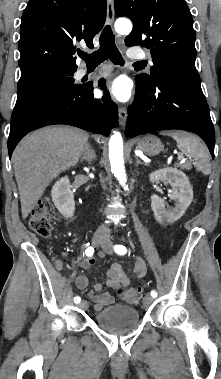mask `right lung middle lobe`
Listing matches in <instances>:
<instances>
[{
  "label": "right lung middle lobe",
  "mask_w": 221,
  "mask_h": 379,
  "mask_svg": "<svg viewBox=\"0 0 221 379\" xmlns=\"http://www.w3.org/2000/svg\"><path fill=\"white\" fill-rule=\"evenodd\" d=\"M76 69H57L44 72L18 83L17 101L13 110L12 120L21 116L36 101L55 96L59 89H77L72 78Z\"/></svg>",
  "instance_id": "obj_1"
}]
</instances>
